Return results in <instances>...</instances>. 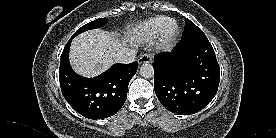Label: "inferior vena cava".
Listing matches in <instances>:
<instances>
[{
    "mask_svg": "<svg viewBox=\"0 0 276 138\" xmlns=\"http://www.w3.org/2000/svg\"><path fill=\"white\" fill-rule=\"evenodd\" d=\"M136 51L128 48H123L115 54V59L119 63L129 64L135 60Z\"/></svg>",
    "mask_w": 276,
    "mask_h": 138,
    "instance_id": "obj_1",
    "label": "inferior vena cava"
}]
</instances>
